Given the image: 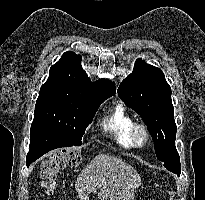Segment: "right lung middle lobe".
<instances>
[{
    "label": "right lung middle lobe",
    "instance_id": "dd1d6c3e",
    "mask_svg": "<svg viewBox=\"0 0 205 200\" xmlns=\"http://www.w3.org/2000/svg\"><path fill=\"white\" fill-rule=\"evenodd\" d=\"M60 83H45L41 86L35 105L34 126H46L74 146L82 144L86 128L104 101Z\"/></svg>",
    "mask_w": 205,
    "mask_h": 200
}]
</instances>
